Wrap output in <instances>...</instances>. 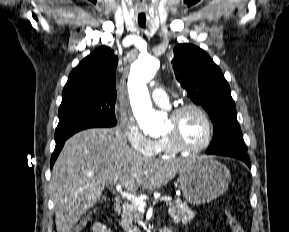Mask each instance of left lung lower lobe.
Returning a JSON list of instances; mask_svg holds the SVG:
<instances>
[{
  "label": "left lung lower lobe",
  "mask_w": 289,
  "mask_h": 232,
  "mask_svg": "<svg viewBox=\"0 0 289 232\" xmlns=\"http://www.w3.org/2000/svg\"><path fill=\"white\" fill-rule=\"evenodd\" d=\"M207 154L222 155V156H229V157L237 158V159L244 161L249 167H251L250 160L246 151H223V152L207 153Z\"/></svg>",
  "instance_id": "obj_1"
}]
</instances>
